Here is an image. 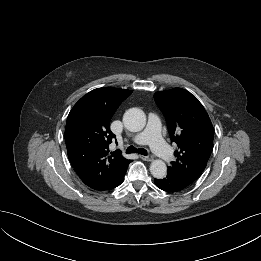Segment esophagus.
I'll use <instances>...</instances> for the list:
<instances>
[{
	"instance_id": "esophagus-1",
	"label": "esophagus",
	"mask_w": 261,
	"mask_h": 261,
	"mask_svg": "<svg viewBox=\"0 0 261 261\" xmlns=\"http://www.w3.org/2000/svg\"><path fill=\"white\" fill-rule=\"evenodd\" d=\"M141 159H143L144 161H152L153 160V156L152 155H147V156H140Z\"/></svg>"
}]
</instances>
